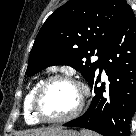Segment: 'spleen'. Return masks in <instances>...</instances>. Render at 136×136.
Masks as SVG:
<instances>
[{"label": "spleen", "mask_w": 136, "mask_h": 136, "mask_svg": "<svg viewBox=\"0 0 136 136\" xmlns=\"http://www.w3.org/2000/svg\"><path fill=\"white\" fill-rule=\"evenodd\" d=\"M81 133H82V136H99V135L94 134L90 131H82Z\"/></svg>", "instance_id": "spleen-1"}]
</instances>
